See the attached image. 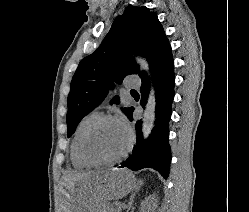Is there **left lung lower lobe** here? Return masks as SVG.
<instances>
[{
	"mask_svg": "<svg viewBox=\"0 0 249 212\" xmlns=\"http://www.w3.org/2000/svg\"><path fill=\"white\" fill-rule=\"evenodd\" d=\"M153 83L156 96L155 123L156 126L147 140L142 138V121L135 124L137 144L132 156L121 164L120 167H127L137 171L143 168H153L164 178H168L171 152L168 143L169 120L171 116V105L174 98V62L170 44H166L160 51L154 62L151 63ZM142 80L141 106L144 107L149 93V81L145 72L139 74ZM134 108H127L125 114L133 120Z\"/></svg>",
	"mask_w": 249,
	"mask_h": 212,
	"instance_id": "1",
	"label": "left lung lower lobe"
}]
</instances>
